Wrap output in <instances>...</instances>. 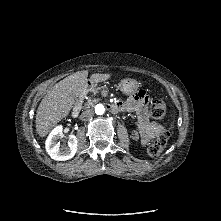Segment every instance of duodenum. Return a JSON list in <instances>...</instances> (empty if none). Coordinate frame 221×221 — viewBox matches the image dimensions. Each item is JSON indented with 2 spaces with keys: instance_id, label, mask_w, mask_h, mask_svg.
<instances>
[{
  "instance_id": "duodenum-1",
  "label": "duodenum",
  "mask_w": 221,
  "mask_h": 221,
  "mask_svg": "<svg viewBox=\"0 0 221 221\" xmlns=\"http://www.w3.org/2000/svg\"><path fill=\"white\" fill-rule=\"evenodd\" d=\"M90 86H91V83L88 82L86 84V87L88 88ZM81 107H82V97L78 98L77 101L75 102V105L72 110V115L74 117H77L79 115L81 111ZM122 109H123V105H120V104H111L110 106V111L111 113H114V114L121 112Z\"/></svg>"
}]
</instances>
